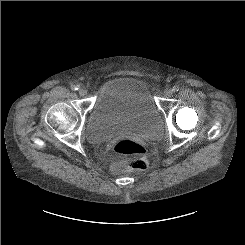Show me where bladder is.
Here are the masks:
<instances>
[{
    "mask_svg": "<svg viewBox=\"0 0 245 245\" xmlns=\"http://www.w3.org/2000/svg\"><path fill=\"white\" fill-rule=\"evenodd\" d=\"M163 124L146 81L136 75L112 77L99 91L86 119L89 141L116 140L121 134L153 137Z\"/></svg>",
    "mask_w": 245,
    "mask_h": 245,
    "instance_id": "1",
    "label": "bladder"
}]
</instances>
